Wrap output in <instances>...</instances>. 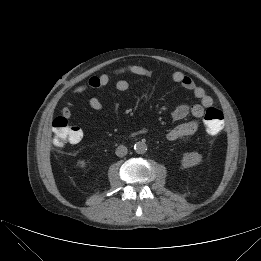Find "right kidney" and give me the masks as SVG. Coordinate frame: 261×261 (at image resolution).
Listing matches in <instances>:
<instances>
[{
	"label": "right kidney",
	"instance_id": "obj_1",
	"mask_svg": "<svg viewBox=\"0 0 261 261\" xmlns=\"http://www.w3.org/2000/svg\"><path fill=\"white\" fill-rule=\"evenodd\" d=\"M77 166H79L80 168H85L86 167V163H85L84 160H78Z\"/></svg>",
	"mask_w": 261,
	"mask_h": 261
}]
</instances>
